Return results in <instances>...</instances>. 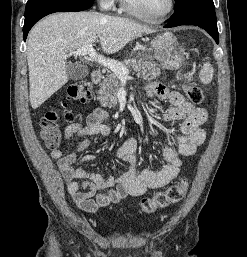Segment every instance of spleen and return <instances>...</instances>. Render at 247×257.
I'll return each mask as SVG.
<instances>
[{"mask_svg":"<svg viewBox=\"0 0 247 257\" xmlns=\"http://www.w3.org/2000/svg\"><path fill=\"white\" fill-rule=\"evenodd\" d=\"M213 67L210 63H205L200 71V80L204 84H209L213 78Z\"/></svg>","mask_w":247,"mask_h":257,"instance_id":"1","label":"spleen"}]
</instances>
